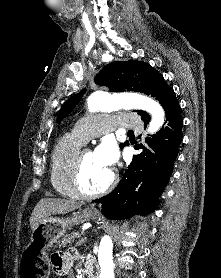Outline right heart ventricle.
Masks as SVG:
<instances>
[{"label": "right heart ventricle", "mask_w": 221, "mask_h": 278, "mask_svg": "<svg viewBox=\"0 0 221 278\" xmlns=\"http://www.w3.org/2000/svg\"><path fill=\"white\" fill-rule=\"evenodd\" d=\"M84 142L73 134H67L55 144L50 161V181L61 196L71 199L78 197L69 184V170L72 160Z\"/></svg>", "instance_id": "1"}]
</instances>
